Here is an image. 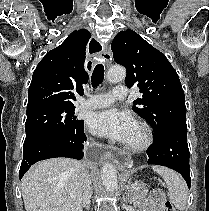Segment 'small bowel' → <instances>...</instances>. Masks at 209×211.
<instances>
[{"mask_svg": "<svg viewBox=\"0 0 209 211\" xmlns=\"http://www.w3.org/2000/svg\"><path fill=\"white\" fill-rule=\"evenodd\" d=\"M164 195L161 191H153L138 211H164Z\"/></svg>", "mask_w": 209, "mask_h": 211, "instance_id": "obj_1", "label": "small bowel"}]
</instances>
